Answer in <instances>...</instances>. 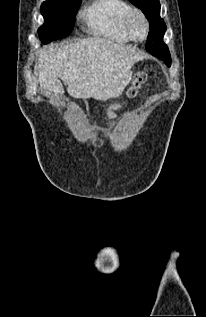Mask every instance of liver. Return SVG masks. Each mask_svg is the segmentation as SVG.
<instances>
[{
  "label": "liver",
  "mask_w": 206,
  "mask_h": 317,
  "mask_svg": "<svg viewBox=\"0 0 206 317\" xmlns=\"http://www.w3.org/2000/svg\"><path fill=\"white\" fill-rule=\"evenodd\" d=\"M144 57L130 46L91 37L43 47L36 68L40 87L46 91L63 94L61 79L74 98L106 101L123 92L131 81L132 66Z\"/></svg>",
  "instance_id": "liver-1"
}]
</instances>
